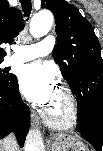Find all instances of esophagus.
Here are the masks:
<instances>
[{
	"mask_svg": "<svg viewBox=\"0 0 103 151\" xmlns=\"http://www.w3.org/2000/svg\"><path fill=\"white\" fill-rule=\"evenodd\" d=\"M31 120H32V126L34 128H37L38 127V120H37L34 112L31 113Z\"/></svg>",
	"mask_w": 103,
	"mask_h": 151,
	"instance_id": "esophagus-1",
	"label": "esophagus"
}]
</instances>
